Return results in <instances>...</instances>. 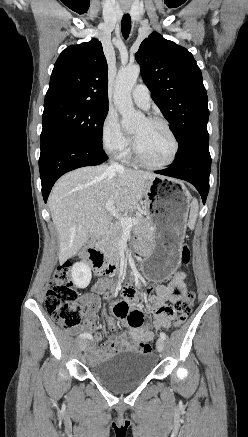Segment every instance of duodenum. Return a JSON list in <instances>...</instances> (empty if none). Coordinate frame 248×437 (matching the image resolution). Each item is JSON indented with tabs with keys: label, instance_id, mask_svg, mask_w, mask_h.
<instances>
[{
	"label": "duodenum",
	"instance_id": "1",
	"mask_svg": "<svg viewBox=\"0 0 248 437\" xmlns=\"http://www.w3.org/2000/svg\"><path fill=\"white\" fill-rule=\"evenodd\" d=\"M108 233V230L107 232ZM102 242L99 241L95 245H93L86 253L85 258L88 262L91 264H95L96 262L102 260ZM117 269L116 263H107L105 265V272L106 273H113Z\"/></svg>",
	"mask_w": 248,
	"mask_h": 437
}]
</instances>
